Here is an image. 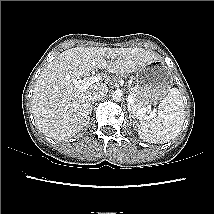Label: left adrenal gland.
Instances as JSON below:
<instances>
[{
  "mask_svg": "<svg viewBox=\"0 0 214 214\" xmlns=\"http://www.w3.org/2000/svg\"><path fill=\"white\" fill-rule=\"evenodd\" d=\"M128 111H129V115H130V117H132V111H131V107H130V105L128 104Z\"/></svg>",
  "mask_w": 214,
  "mask_h": 214,
  "instance_id": "left-adrenal-gland-1",
  "label": "left adrenal gland"
}]
</instances>
